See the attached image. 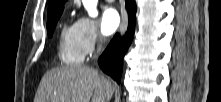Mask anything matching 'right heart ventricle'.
Masks as SVG:
<instances>
[{"mask_svg":"<svg viewBox=\"0 0 221 102\" xmlns=\"http://www.w3.org/2000/svg\"><path fill=\"white\" fill-rule=\"evenodd\" d=\"M58 57L67 65L80 64L84 55L82 54L72 26L63 25L58 39Z\"/></svg>","mask_w":221,"mask_h":102,"instance_id":"obj_1","label":"right heart ventricle"}]
</instances>
